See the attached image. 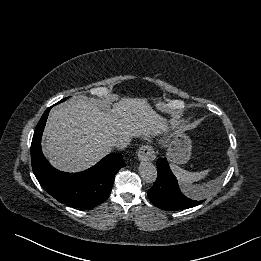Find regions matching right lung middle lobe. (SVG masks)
<instances>
[{"instance_id": "obj_1", "label": "right lung middle lobe", "mask_w": 261, "mask_h": 261, "mask_svg": "<svg viewBox=\"0 0 261 261\" xmlns=\"http://www.w3.org/2000/svg\"><path fill=\"white\" fill-rule=\"evenodd\" d=\"M66 100V98L65 99H63V100H61L60 102H63V101H65Z\"/></svg>"}]
</instances>
